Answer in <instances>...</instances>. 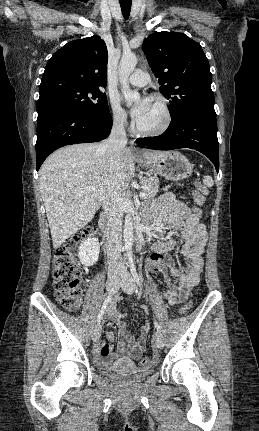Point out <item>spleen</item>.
<instances>
[{
    "label": "spleen",
    "mask_w": 259,
    "mask_h": 431,
    "mask_svg": "<svg viewBox=\"0 0 259 431\" xmlns=\"http://www.w3.org/2000/svg\"><path fill=\"white\" fill-rule=\"evenodd\" d=\"M203 183L206 187H212L214 184V181L211 176L206 175L204 176Z\"/></svg>",
    "instance_id": "obj_1"
}]
</instances>
